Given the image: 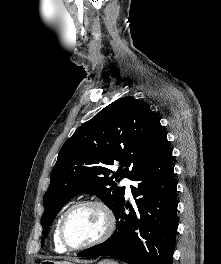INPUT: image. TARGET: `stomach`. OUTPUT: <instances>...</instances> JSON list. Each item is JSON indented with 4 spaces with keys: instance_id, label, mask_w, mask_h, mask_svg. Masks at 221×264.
I'll return each instance as SVG.
<instances>
[{
    "instance_id": "stomach-1",
    "label": "stomach",
    "mask_w": 221,
    "mask_h": 264,
    "mask_svg": "<svg viewBox=\"0 0 221 264\" xmlns=\"http://www.w3.org/2000/svg\"><path fill=\"white\" fill-rule=\"evenodd\" d=\"M40 264H75V263H72V262H60V261H54V260H44L42 261ZM78 264H88L86 262H79ZM97 264H118L116 261L114 260H109V259H105V260H102L100 262H98Z\"/></svg>"
}]
</instances>
